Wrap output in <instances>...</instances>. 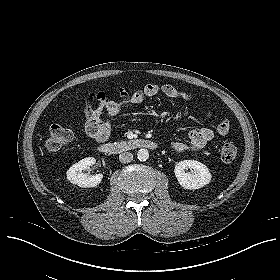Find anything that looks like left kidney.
<instances>
[{
	"label": "left kidney",
	"instance_id": "left-kidney-1",
	"mask_svg": "<svg viewBox=\"0 0 280 280\" xmlns=\"http://www.w3.org/2000/svg\"><path fill=\"white\" fill-rule=\"evenodd\" d=\"M193 169L191 172H185L187 169ZM175 176L179 184L190 190H196L209 184L212 178L206 165L195 160H183L175 165Z\"/></svg>",
	"mask_w": 280,
	"mask_h": 280
}]
</instances>
